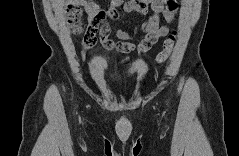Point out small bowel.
I'll return each mask as SVG.
<instances>
[{"instance_id": "1", "label": "small bowel", "mask_w": 239, "mask_h": 156, "mask_svg": "<svg viewBox=\"0 0 239 156\" xmlns=\"http://www.w3.org/2000/svg\"><path fill=\"white\" fill-rule=\"evenodd\" d=\"M76 2L86 7L88 22L95 23L98 27V31L94 34L92 42L89 43L91 36L86 34L84 44L87 47L94 45L97 39V33L99 32V40L104 48L107 50L116 49L123 53L137 50L146 51L158 40L165 37L169 32L168 25L174 21L178 10L176 0H130L125 2L123 0H112L105 11L111 19L118 17L119 8H123L127 13H137L142 16H146L149 11L151 12V15L142 22L140 27H135L132 32L118 29L116 36L121 41L115 43L109 37L110 28L108 25L103 24L102 20H96L97 14L103 10H100L95 4L85 0H78ZM138 33L143 34L144 38L140 41L139 45L136 46L131 40Z\"/></svg>"}]
</instances>
